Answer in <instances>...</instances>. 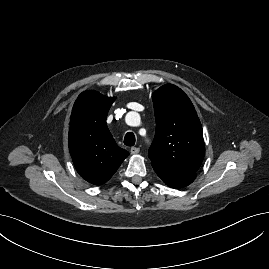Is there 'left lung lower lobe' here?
<instances>
[{
    "mask_svg": "<svg viewBox=\"0 0 269 269\" xmlns=\"http://www.w3.org/2000/svg\"><path fill=\"white\" fill-rule=\"evenodd\" d=\"M156 174L163 180V182L171 188H182L191 184L196 178V173L186 171H176L161 168L152 164Z\"/></svg>",
    "mask_w": 269,
    "mask_h": 269,
    "instance_id": "1",
    "label": "left lung lower lobe"
}]
</instances>
